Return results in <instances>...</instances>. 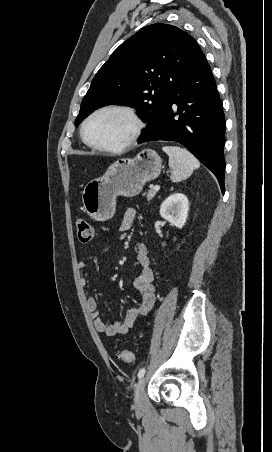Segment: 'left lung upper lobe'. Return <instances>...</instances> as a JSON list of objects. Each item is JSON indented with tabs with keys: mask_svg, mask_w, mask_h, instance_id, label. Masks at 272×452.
Instances as JSON below:
<instances>
[{
	"mask_svg": "<svg viewBox=\"0 0 272 452\" xmlns=\"http://www.w3.org/2000/svg\"><path fill=\"white\" fill-rule=\"evenodd\" d=\"M197 46L193 37L173 25L157 23L142 28L97 72L75 125L95 109L111 104L133 106L148 126L155 123Z\"/></svg>",
	"mask_w": 272,
	"mask_h": 452,
	"instance_id": "5c2ea615",
	"label": "left lung upper lobe"
}]
</instances>
